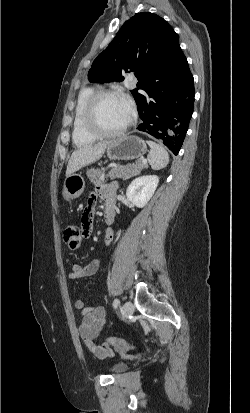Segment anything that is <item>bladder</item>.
Returning <instances> with one entry per match:
<instances>
[{
    "label": "bladder",
    "mask_w": 250,
    "mask_h": 413,
    "mask_svg": "<svg viewBox=\"0 0 250 413\" xmlns=\"http://www.w3.org/2000/svg\"><path fill=\"white\" fill-rule=\"evenodd\" d=\"M128 368V364L125 361H119L114 363L110 370L112 373H121L123 371H125Z\"/></svg>",
    "instance_id": "obj_1"
}]
</instances>
